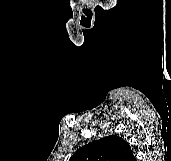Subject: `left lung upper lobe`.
<instances>
[{
    "label": "left lung upper lobe",
    "mask_w": 171,
    "mask_h": 161,
    "mask_svg": "<svg viewBox=\"0 0 171 161\" xmlns=\"http://www.w3.org/2000/svg\"><path fill=\"white\" fill-rule=\"evenodd\" d=\"M130 145L121 137L110 135L79 148L69 161H133Z\"/></svg>",
    "instance_id": "1"
}]
</instances>
